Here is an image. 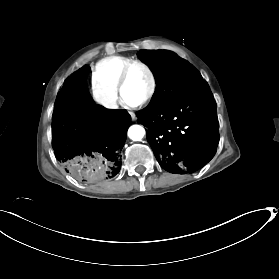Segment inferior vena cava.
Instances as JSON below:
<instances>
[{
  "label": "inferior vena cava",
  "mask_w": 279,
  "mask_h": 279,
  "mask_svg": "<svg viewBox=\"0 0 279 279\" xmlns=\"http://www.w3.org/2000/svg\"><path fill=\"white\" fill-rule=\"evenodd\" d=\"M105 107L113 108V109L118 108V106L116 105V100H114V99L107 100L106 103H105Z\"/></svg>",
  "instance_id": "inferior-vena-cava-1"
}]
</instances>
